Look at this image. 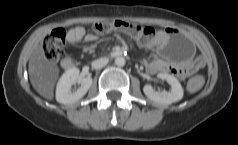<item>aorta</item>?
<instances>
[{
	"instance_id": "762f6f07",
	"label": "aorta",
	"mask_w": 238,
	"mask_h": 145,
	"mask_svg": "<svg viewBox=\"0 0 238 145\" xmlns=\"http://www.w3.org/2000/svg\"><path fill=\"white\" fill-rule=\"evenodd\" d=\"M126 61L125 58L122 56H118L115 58V64L119 67H123L125 65Z\"/></svg>"
}]
</instances>
